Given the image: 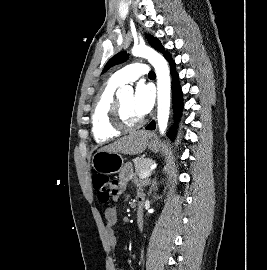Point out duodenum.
Instances as JSON below:
<instances>
[{
    "mask_svg": "<svg viewBox=\"0 0 267 270\" xmlns=\"http://www.w3.org/2000/svg\"><path fill=\"white\" fill-rule=\"evenodd\" d=\"M138 209H137V217H136V224L138 228H141L144 221V198L138 197Z\"/></svg>",
    "mask_w": 267,
    "mask_h": 270,
    "instance_id": "duodenum-1",
    "label": "duodenum"
}]
</instances>
